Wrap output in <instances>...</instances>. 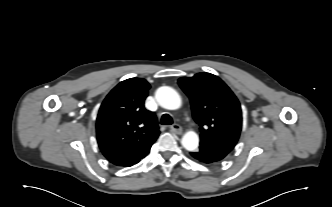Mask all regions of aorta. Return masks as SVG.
<instances>
[{
    "instance_id": "1",
    "label": "aorta",
    "mask_w": 332,
    "mask_h": 207,
    "mask_svg": "<svg viewBox=\"0 0 332 207\" xmlns=\"http://www.w3.org/2000/svg\"><path fill=\"white\" fill-rule=\"evenodd\" d=\"M155 97L159 105L165 109L176 110L181 106L179 94L171 87L158 88ZM181 144L186 150L194 151L198 148L199 137L194 131H189L182 137Z\"/></svg>"
}]
</instances>
